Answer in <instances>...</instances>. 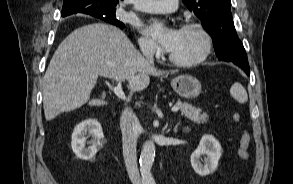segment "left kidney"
Returning a JSON list of instances; mask_svg holds the SVG:
<instances>
[{
	"label": "left kidney",
	"instance_id": "left-kidney-1",
	"mask_svg": "<svg viewBox=\"0 0 293 184\" xmlns=\"http://www.w3.org/2000/svg\"><path fill=\"white\" fill-rule=\"evenodd\" d=\"M222 155V148L218 140L212 135H204L198 148L191 155V165L200 176L213 173ZM204 156V160L201 157Z\"/></svg>",
	"mask_w": 293,
	"mask_h": 184
}]
</instances>
